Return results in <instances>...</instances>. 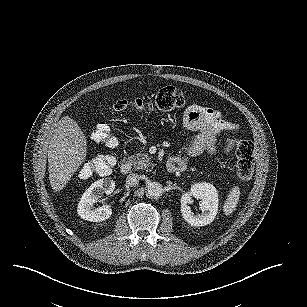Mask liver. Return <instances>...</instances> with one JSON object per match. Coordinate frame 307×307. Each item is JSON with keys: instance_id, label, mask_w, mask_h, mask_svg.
<instances>
[{"instance_id": "6515ba94", "label": "liver", "mask_w": 307, "mask_h": 307, "mask_svg": "<svg viewBox=\"0 0 307 307\" xmlns=\"http://www.w3.org/2000/svg\"><path fill=\"white\" fill-rule=\"evenodd\" d=\"M87 156L86 137L75 120L62 117L48 147V172L54 192L61 191Z\"/></svg>"}]
</instances>
